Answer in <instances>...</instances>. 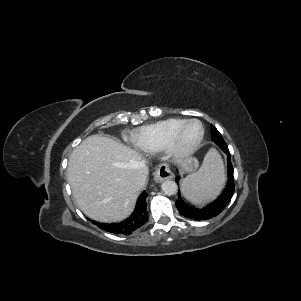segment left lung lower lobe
<instances>
[{"instance_id": "obj_1", "label": "left lung lower lobe", "mask_w": 301, "mask_h": 301, "mask_svg": "<svg viewBox=\"0 0 301 301\" xmlns=\"http://www.w3.org/2000/svg\"><path fill=\"white\" fill-rule=\"evenodd\" d=\"M211 139L213 142H215L222 150L224 153L227 154V163H228V180L226 187L223 191V193L213 202L210 204L204 206L203 208H194L186 205L181 197L180 193L178 196V200L176 201V207L179 210V212L193 220H208L212 217L217 216L223 209L228 205L230 202L233 194H234V177H233V166L231 163V158H230V152L228 150V146L225 143V141L222 138H219L217 134L211 133ZM180 177H176V182H179Z\"/></svg>"}]
</instances>
